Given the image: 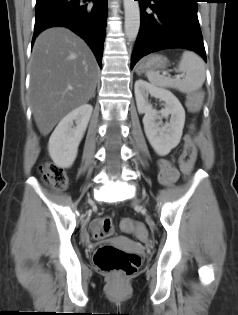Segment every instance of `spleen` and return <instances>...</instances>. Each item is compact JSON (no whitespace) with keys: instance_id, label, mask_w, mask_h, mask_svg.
<instances>
[{"instance_id":"3e777b00","label":"spleen","mask_w":238,"mask_h":315,"mask_svg":"<svg viewBox=\"0 0 238 315\" xmlns=\"http://www.w3.org/2000/svg\"><path fill=\"white\" fill-rule=\"evenodd\" d=\"M182 79H171L158 72H146L148 80L155 86L177 89L182 93H192L200 89L206 78L205 63L196 53L185 51L177 68Z\"/></svg>"}]
</instances>
